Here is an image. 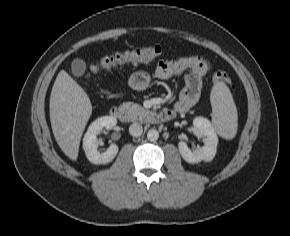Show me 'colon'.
I'll list each match as a JSON object with an SVG mask.
<instances>
[{
    "instance_id": "colon-1",
    "label": "colon",
    "mask_w": 290,
    "mask_h": 236,
    "mask_svg": "<svg viewBox=\"0 0 290 236\" xmlns=\"http://www.w3.org/2000/svg\"><path fill=\"white\" fill-rule=\"evenodd\" d=\"M161 54L162 48L158 45H147L125 52H118L102 58L98 64L91 67V72L97 73L101 70H107L126 64L152 61ZM213 80L217 83H224L228 86H232L229 77L222 71L215 72Z\"/></svg>"
}]
</instances>
